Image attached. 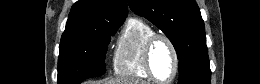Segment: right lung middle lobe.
<instances>
[{"mask_svg":"<svg viewBox=\"0 0 260 84\" xmlns=\"http://www.w3.org/2000/svg\"><path fill=\"white\" fill-rule=\"evenodd\" d=\"M123 24L102 23L90 31L87 38L61 41L58 59V83L79 84L106 72L107 45Z\"/></svg>","mask_w":260,"mask_h":84,"instance_id":"dd1d6c3e","label":"right lung middle lobe"}]
</instances>
